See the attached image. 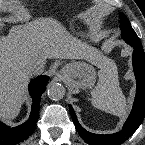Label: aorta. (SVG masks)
<instances>
[{
    "instance_id": "obj_1",
    "label": "aorta",
    "mask_w": 145,
    "mask_h": 145,
    "mask_svg": "<svg viewBox=\"0 0 145 145\" xmlns=\"http://www.w3.org/2000/svg\"><path fill=\"white\" fill-rule=\"evenodd\" d=\"M48 97L53 101L62 99L65 95V88L62 84L57 82H51L47 87Z\"/></svg>"
}]
</instances>
